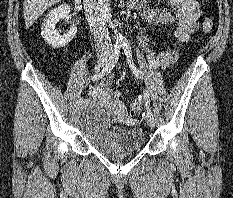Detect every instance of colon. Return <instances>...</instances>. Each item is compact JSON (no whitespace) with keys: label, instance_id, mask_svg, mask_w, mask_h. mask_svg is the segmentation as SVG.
I'll list each match as a JSON object with an SVG mask.
<instances>
[{"label":"colon","instance_id":"obj_1","mask_svg":"<svg viewBox=\"0 0 233 198\" xmlns=\"http://www.w3.org/2000/svg\"><path fill=\"white\" fill-rule=\"evenodd\" d=\"M203 2H205V0H202ZM213 28V21L211 18H206L203 21L202 24V30L205 34H209L212 31ZM142 99L141 98H136L133 101H131L129 107H130V111L132 115H139L142 111Z\"/></svg>","mask_w":233,"mask_h":198}]
</instances>
